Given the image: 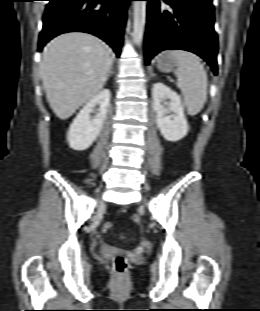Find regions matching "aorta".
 I'll return each instance as SVG.
<instances>
[{"instance_id": "obj_1", "label": "aorta", "mask_w": 260, "mask_h": 311, "mask_svg": "<svg viewBox=\"0 0 260 311\" xmlns=\"http://www.w3.org/2000/svg\"><path fill=\"white\" fill-rule=\"evenodd\" d=\"M133 8L134 42L136 45H140L143 39L146 23V1H134Z\"/></svg>"}]
</instances>
